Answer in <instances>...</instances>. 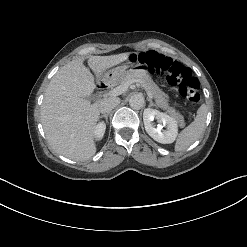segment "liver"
<instances>
[{"label": "liver", "instance_id": "obj_1", "mask_svg": "<svg viewBox=\"0 0 247 247\" xmlns=\"http://www.w3.org/2000/svg\"><path fill=\"white\" fill-rule=\"evenodd\" d=\"M130 55L91 56L88 65L97 80L107 83L103 73ZM95 88L94 77L84 66L83 59L64 65L46 88L41 106L44 132L52 149L69 159L85 161L96 153L94 137L100 115L99 102L91 104L86 99Z\"/></svg>", "mask_w": 247, "mask_h": 247}]
</instances>
